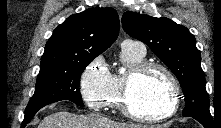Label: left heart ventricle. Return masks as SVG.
<instances>
[{
    "label": "left heart ventricle",
    "mask_w": 221,
    "mask_h": 128,
    "mask_svg": "<svg viewBox=\"0 0 221 128\" xmlns=\"http://www.w3.org/2000/svg\"><path fill=\"white\" fill-rule=\"evenodd\" d=\"M169 81L160 70H151L132 87L130 103L137 112L153 115L164 112L170 103Z\"/></svg>",
    "instance_id": "obj_1"
}]
</instances>
